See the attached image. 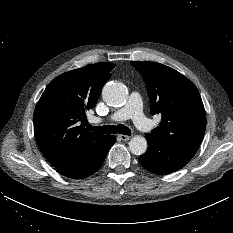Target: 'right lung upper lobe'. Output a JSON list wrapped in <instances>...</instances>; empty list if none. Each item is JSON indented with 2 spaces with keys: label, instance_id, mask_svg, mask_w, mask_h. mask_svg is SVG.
I'll return each mask as SVG.
<instances>
[{
  "label": "right lung upper lobe",
  "instance_id": "obj_1",
  "mask_svg": "<svg viewBox=\"0 0 233 233\" xmlns=\"http://www.w3.org/2000/svg\"><path fill=\"white\" fill-rule=\"evenodd\" d=\"M114 67L105 62L89 64L59 75L46 87L35 107L34 135L53 166L75 159L107 136L88 132L80 123L95 107Z\"/></svg>",
  "mask_w": 233,
  "mask_h": 233
}]
</instances>
